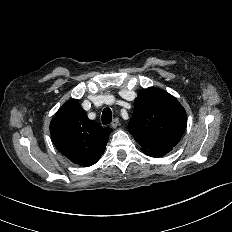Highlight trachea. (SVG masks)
Listing matches in <instances>:
<instances>
[{"mask_svg":"<svg viewBox=\"0 0 232 232\" xmlns=\"http://www.w3.org/2000/svg\"><path fill=\"white\" fill-rule=\"evenodd\" d=\"M101 119H102V123L104 125H107V124L111 123V121H112V112H111L110 108H105L103 110Z\"/></svg>","mask_w":232,"mask_h":232,"instance_id":"1","label":"trachea"}]
</instances>
